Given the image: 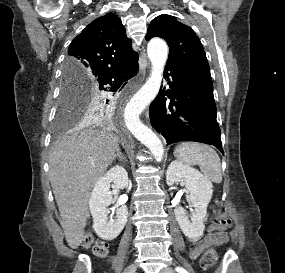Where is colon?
Instances as JSON below:
<instances>
[{
  "mask_svg": "<svg viewBox=\"0 0 285 273\" xmlns=\"http://www.w3.org/2000/svg\"><path fill=\"white\" fill-rule=\"evenodd\" d=\"M215 220L219 230H224L230 227L231 220L220 210L215 209ZM83 246L92 248L95 255L103 257L106 255L108 250V244L103 240L95 239L90 233L83 237ZM217 261V254L213 248H208L200 259V266L203 269L211 268Z\"/></svg>",
  "mask_w": 285,
  "mask_h": 273,
  "instance_id": "colon-1",
  "label": "colon"
}]
</instances>
